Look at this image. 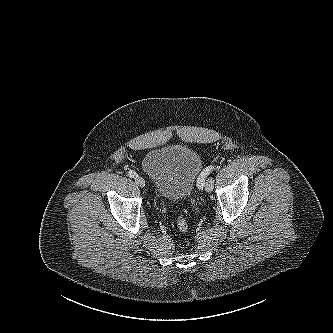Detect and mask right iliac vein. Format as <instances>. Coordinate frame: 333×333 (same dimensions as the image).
I'll list each match as a JSON object with an SVG mask.
<instances>
[{
	"label": "right iliac vein",
	"mask_w": 333,
	"mask_h": 333,
	"mask_svg": "<svg viewBox=\"0 0 333 333\" xmlns=\"http://www.w3.org/2000/svg\"><path fill=\"white\" fill-rule=\"evenodd\" d=\"M134 180H135V183H136L139 187H144V186H145V180H144L142 177L136 175L135 178H134Z\"/></svg>",
	"instance_id": "obj_1"
}]
</instances>
